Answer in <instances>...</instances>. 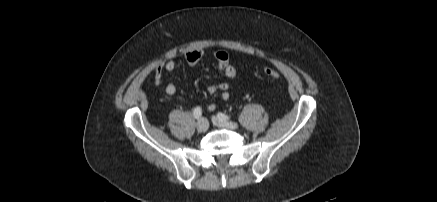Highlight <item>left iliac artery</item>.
I'll return each instance as SVG.
<instances>
[{
	"instance_id": "1",
	"label": "left iliac artery",
	"mask_w": 437,
	"mask_h": 202,
	"mask_svg": "<svg viewBox=\"0 0 437 202\" xmlns=\"http://www.w3.org/2000/svg\"><path fill=\"white\" fill-rule=\"evenodd\" d=\"M217 116H218V118L221 119V120H229V119H230L229 116H227V115H225V114H223V113H218Z\"/></svg>"
}]
</instances>
